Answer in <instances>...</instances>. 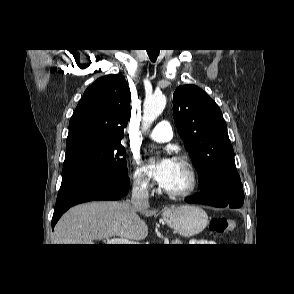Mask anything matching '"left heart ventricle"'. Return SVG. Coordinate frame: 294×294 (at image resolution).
<instances>
[{
    "label": "left heart ventricle",
    "mask_w": 294,
    "mask_h": 294,
    "mask_svg": "<svg viewBox=\"0 0 294 294\" xmlns=\"http://www.w3.org/2000/svg\"><path fill=\"white\" fill-rule=\"evenodd\" d=\"M188 184V175L183 166L175 162L173 170L162 187L170 191H179L184 189Z\"/></svg>",
    "instance_id": "left-heart-ventricle-1"
}]
</instances>
